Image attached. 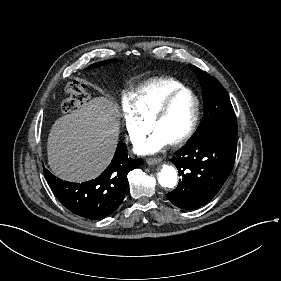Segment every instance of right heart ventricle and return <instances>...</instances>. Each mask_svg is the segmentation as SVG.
Segmentation results:
<instances>
[{"instance_id":"e07e8e85","label":"right heart ventricle","mask_w":281,"mask_h":281,"mask_svg":"<svg viewBox=\"0 0 281 281\" xmlns=\"http://www.w3.org/2000/svg\"><path fill=\"white\" fill-rule=\"evenodd\" d=\"M183 88L186 86L181 81L174 78H164L147 88L127 94L125 102L131 106L138 120L144 125L147 118L168 96Z\"/></svg>"}]
</instances>
